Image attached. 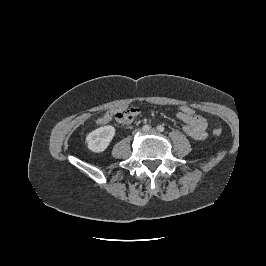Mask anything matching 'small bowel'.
<instances>
[{
	"label": "small bowel",
	"mask_w": 266,
	"mask_h": 266,
	"mask_svg": "<svg viewBox=\"0 0 266 266\" xmlns=\"http://www.w3.org/2000/svg\"><path fill=\"white\" fill-rule=\"evenodd\" d=\"M131 109L134 116L128 123H131L140 114V110L138 108ZM112 115V111L105 112L101 117H99L97 123L99 125L108 123L111 120ZM176 118L183 124L184 132L192 139L203 140L207 137L208 124L207 120L203 116L197 114L195 116L188 117L178 112Z\"/></svg>",
	"instance_id": "1"
}]
</instances>
